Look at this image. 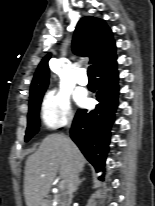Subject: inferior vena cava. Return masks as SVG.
<instances>
[{
	"label": "inferior vena cava",
	"mask_w": 155,
	"mask_h": 206,
	"mask_svg": "<svg viewBox=\"0 0 155 206\" xmlns=\"http://www.w3.org/2000/svg\"><path fill=\"white\" fill-rule=\"evenodd\" d=\"M69 126H70V124H69ZM76 176H77V171L75 169V166L72 165L71 170H70L69 182L67 185L69 199L67 202H65V206H68L69 203L71 202L72 194H73L74 188H75Z\"/></svg>",
	"instance_id": "inferior-vena-cava-1"
}]
</instances>
